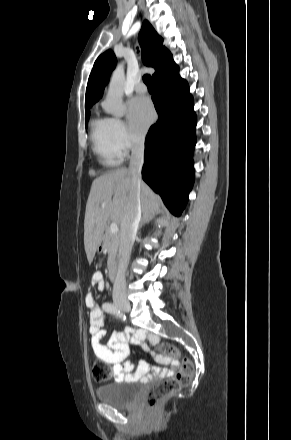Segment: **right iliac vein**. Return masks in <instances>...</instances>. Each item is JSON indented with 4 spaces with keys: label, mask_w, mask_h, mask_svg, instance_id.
<instances>
[{
    "label": "right iliac vein",
    "mask_w": 291,
    "mask_h": 440,
    "mask_svg": "<svg viewBox=\"0 0 291 440\" xmlns=\"http://www.w3.org/2000/svg\"><path fill=\"white\" fill-rule=\"evenodd\" d=\"M118 306L120 309H122L123 311L129 312L131 310V305L128 301H119L118 302Z\"/></svg>",
    "instance_id": "obj_1"
}]
</instances>
